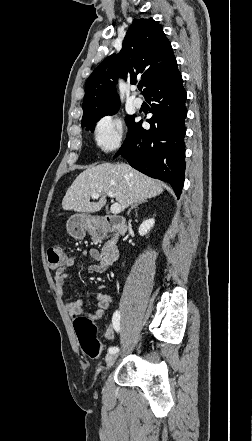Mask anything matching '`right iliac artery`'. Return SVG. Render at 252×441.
Returning <instances> with one entry per match:
<instances>
[{
	"label": "right iliac artery",
	"instance_id": "1",
	"mask_svg": "<svg viewBox=\"0 0 252 441\" xmlns=\"http://www.w3.org/2000/svg\"><path fill=\"white\" fill-rule=\"evenodd\" d=\"M112 322H113V326H114L115 330L118 332L120 330V312L119 311H116L113 314ZM118 351H119L118 347H110L108 349V352L111 354L116 353Z\"/></svg>",
	"mask_w": 252,
	"mask_h": 441
}]
</instances>
